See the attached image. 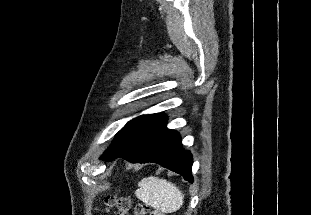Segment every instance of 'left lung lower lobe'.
I'll use <instances>...</instances> for the list:
<instances>
[{
    "mask_svg": "<svg viewBox=\"0 0 311 215\" xmlns=\"http://www.w3.org/2000/svg\"><path fill=\"white\" fill-rule=\"evenodd\" d=\"M167 118L155 115L140 131L133 142L122 152L112 157L124 158L132 163L154 162L181 174L185 180L193 182L191 174L192 156L182 148L180 135L165 125Z\"/></svg>",
    "mask_w": 311,
    "mask_h": 215,
    "instance_id": "left-lung-lower-lobe-1",
    "label": "left lung lower lobe"
}]
</instances>
